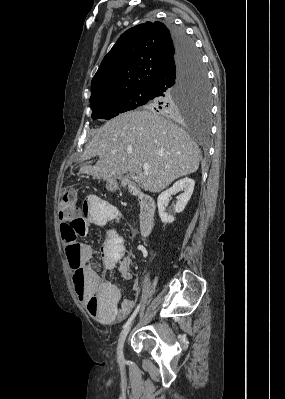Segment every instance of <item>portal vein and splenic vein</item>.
Listing matches in <instances>:
<instances>
[{
	"instance_id": "18ae733b",
	"label": "portal vein and splenic vein",
	"mask_w": 285,
	"mask_h": 399,
	"mask_svg": "<svg viewBox=\"0 0 285 399\" xmlns=\"http://www.w3.org/2000/svg\"><path fill=\"white\" fill-rule=\"evenodd\" d=\"M142 167L144 171H148L150 169V165L148 163H144Z\"/></svg>"
}]
</instances>
